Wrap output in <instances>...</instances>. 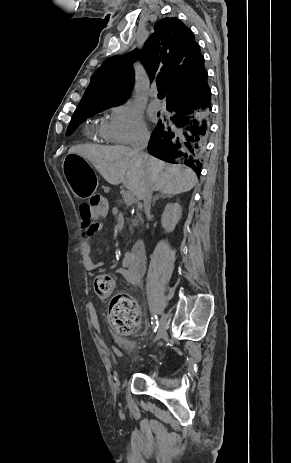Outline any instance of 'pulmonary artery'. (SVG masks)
Wrapping results in <instances>:
<instances>
[{
    "instance_id": "pulmonary-artery-1",
    "label": "pulmonary artery",
    "mask_w": 291,
    "mask_h": 463,
    "mask_svg": "<svg viewBox=\"0 0 291 463\" xmlns=\"http://www.w3.org/2000/svg\"><path fill=\"white\" fill-rule=\"evenodd\" d=\"M152 97H156V93H152ZM150 107L151 109L155 110V111H160L163 109V104L157 100V99H154L150 102Z\"/></svg>"
}]
</instances>
